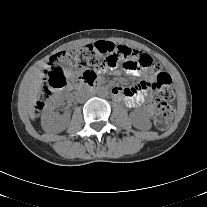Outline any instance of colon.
<instances>
[{
	"label": "colon",
	"instance_id": "1",
	"mask_svg": "<svg viewBox=\"0 0 207 207\" xmlns=\"http://www.w3.org/2000/svg\"><path fill=\"white\" fill-rule=\"evenodd\" d=\"M49 64L51 70L47 83H44L41 89L39 102L37 103L38 108H40L45 98L49 96L50 86L61 88L67 84L66 77L62 71L67 66L97 67L110 70L118 64H122L124 68L133 66L140 68L146 75L153 74L157 69V60L153 55L105 41L60 51L51 57ZM88 75L94 76L91 72L84 74V76ZM152 88L157 96L155 125L159 130L163 131L170 126L174 114V109L170 102L175 97V90L170 75L164 71L157 72Z\"/></svg>",
	"mask_w": 207,
	"mask_h": 207
}]
</instances>
